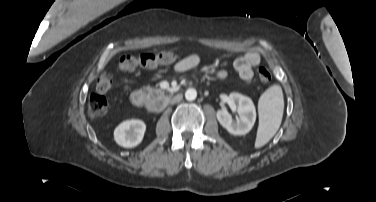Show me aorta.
Returning <instances> with one entry per match:
<instances>
[{
    "instance_id": "obj_1",
    "label": "aorta",
    "mask_w": 376,
    "mask_h": 202,
    "mask_svg": "<svg viewBox=\"0 0 376 202\" xmlns=\"http://www.w3.org/2000/svg\"><path fill=\"white\" fill-rule=\"evenodd\" d=\"M196 97H197V91L194 88H189V89L186 90L185 98L188 101H193V100L196 99Z\"/></svg>"
}]
</instances>
